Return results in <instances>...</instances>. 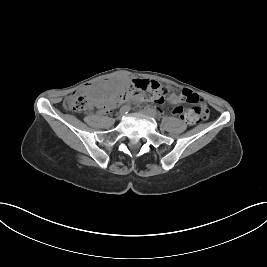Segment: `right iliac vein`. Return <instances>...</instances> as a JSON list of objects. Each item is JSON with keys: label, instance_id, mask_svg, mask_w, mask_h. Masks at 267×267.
Returning <instances> with one entry per match:
<instances>
[{"label": "right iliac vein", "instance_id": "1", "mask_svg": "<svg viewBox=\"0 0 267 267\" xmlns=\"http://www.w3.org/2000/svg\"><path fill=\"white\" fill-rule=\"evenodd\" d=\"M123 116H124V114H123V113H120V114L117 116V119L119 120V119H121Z\"/></svg>", "mask_w": 267, "mask_h": 267}]
</instances>
